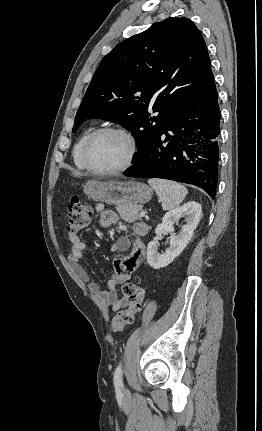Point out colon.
Segmentation results:
<instances>
[{"instance_id": "1", "label": "colon", "mask_w": 262, "mask_h": 431, "mask_svg": "<svg viewBox=\"0 0 262 431\" xmlns=\"http://www.w3.org/2000/svg\"><path fill=\"white\" fill-rule=\"evenodd\" d=\"M92 216L91 208L86 205L78 196L71 198L67 213V232L74 235L82 231L90 223ZM123 296L128 298V306L119 311L111 321V329L114 333H119L127 325L134 322L135 316L142 309L145 297L144 288L132 281H125L121 286Z\"/></svg>"}]
</instances>
